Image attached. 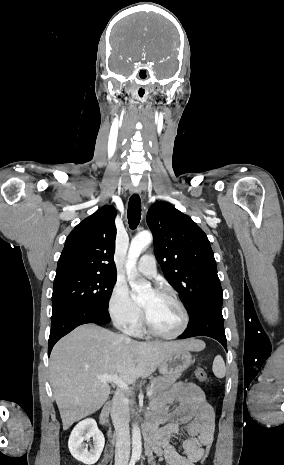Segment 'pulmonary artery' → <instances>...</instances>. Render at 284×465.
<instances>
[{"label": "pulmonary artery", "instance_id": "pulmonary-artery-1", "mask_svg": "<svg viewBox=\"0 0 284 465\" xmlns=\"http://www.w3.org/2000/svg\"><path fill=\"white\" fill-rule=\"evenodd\" d=\"M155 254H142L140 262L136 266L138 274L151 277L156 274Z\"/></svg>", "mask_w": 284, "mask_h": 465}]
</instances>
